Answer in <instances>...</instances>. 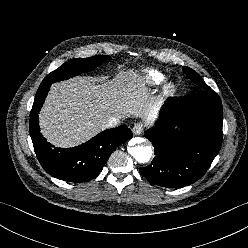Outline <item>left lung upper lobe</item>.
Listing matches in <instances>:
<instances>
[{
  "mask_svg": "<svg viewBox=\"0 0 248 248\" xmlns=\"http://www.w3.org/2000/svg\"><path fill=\"white\" fill-rule=\"evenodd\" d=\"M184 73L187 75V77L192 80L194 83L201 86V90H211V88L206 85V83L203 81V79L191 68L183 67Z\"/></svg>",
  "mask_w": 248,
  "mask_h": 248,
  "instance_id": "5c2ea615",
  "label": "left lung upper lobe"
}]
</instances>
